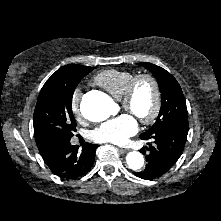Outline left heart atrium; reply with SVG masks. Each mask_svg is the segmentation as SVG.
I'll return each mask as SVG.
<instances>
[{
    "instance_id": "1",
    "label": "left heart atrium",
    "mask_w": 221,
    "mask_h": 221,
    "mask_svg": "<svg viewBox=\"0 0 221 221\" xmlns=\"http://www.w3.org/2000/svg\"><path fill=\"white\" fill-rule=\"evenodd\" d=\"M138 130L136 119L128 113L121 114L99 125L92 137L97 142L125 144Z\"/></svg>"
}]
</instances>
